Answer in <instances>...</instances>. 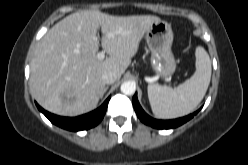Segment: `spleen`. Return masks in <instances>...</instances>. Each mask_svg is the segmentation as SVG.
Masks as SVG:
<instances>
[{"mask_svg": "<svg viewBox=\"0 0 248 165\" xmlns=\"http://www.w3.org/2000/svg\"><path fill=\"white\" fill-rule=\"evenodd\" d=\"M196 71L176 88L150 84L148 98L157 118L172 119L192 112L204 98L211 79V61L206 50L198 46L195 51Z\"/></svg>", "mask_w": 248, "mask_h": 165, "instance_id": "3e777b00", "label": "spleen"}]
</instances>
